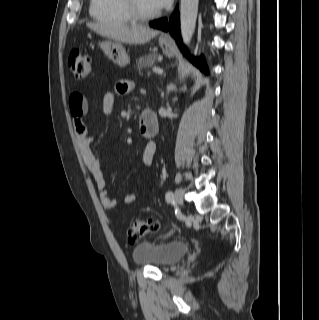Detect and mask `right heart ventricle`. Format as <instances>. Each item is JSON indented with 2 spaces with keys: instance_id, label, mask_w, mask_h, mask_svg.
Wrapping results in <instances>:
<instances>
[{
  "instance_id": "e07e8e85",
  "label": "right heart ventricle",
  "mask_w": 319,
  "mask_h": 320,
  "mask_svg": "<svg viewBox=\"0 0 319 320\" xmlns=\"http://www.w3.org/2000/svg\"><path fill=\"white\" fill-rule=\"evenodd\" d=\"M89 14L94 20L105 24H128L132 21L123 0H91Z\"/></svg>"
}]
</instances>
